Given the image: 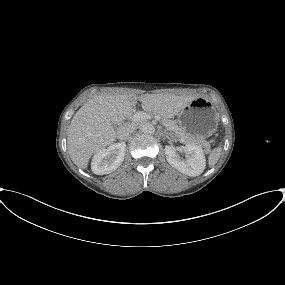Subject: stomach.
Masks as SVG:
<instances>
[{
    "mask_svg": "<svg viewBox=\"0 0 285 285\" xmlns=\"http://www.w3.org/2000/svg\"><path fill=\"white\" fill-rule=\"evenodd\" d=\"M218 113L214 104L205 97H196L177 116L181 130L190 137L204 139L217 129Z\"/></svg>",
    "mask_w": 285,
    "mask_h": 285,
    "instance_id": "1",
    "label": "stomach"
}]
</instances>
